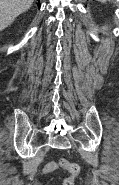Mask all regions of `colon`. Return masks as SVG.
<instances>
[{"label": "colon", "mask_w": 119, "mask_h": 185, "mask_svg": "<svg viewBox=\"0 0 119 185\" xmlns=\"http://www.w3.org/2000/svg\"><path fill=\"white\" fill-rule=\"evenodd\" d=\"M60 166L69 172V177L63 182V185H74L80 175V167L76 163H71L66 159L59 160Z\"/></svg>", "instance_id": "5ec220e1"}]
</instances>
